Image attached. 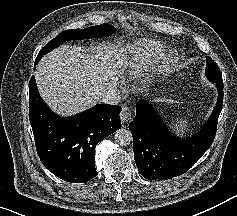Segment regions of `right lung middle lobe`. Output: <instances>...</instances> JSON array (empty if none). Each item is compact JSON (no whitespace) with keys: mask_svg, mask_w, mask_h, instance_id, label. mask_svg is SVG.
I'll return each mask as SVG.
<instances>
[{"mask_svg":"<svg viewBox=\"0 0 237 216\" xmlns=\"http://www.w3.org/2000/svg\"><path fill=\"white\" fill-rule=\"evenodd\" d=\"M114 32H116V29L108 23L88 27L85 29H71L63 31L40 50L35 60V64H37L45 54L49 53L51 50L55 49L65 41L109 36Z\"/></svg>","mask_w":237,"mask_h":216,"instance_id":"obj_1","label":"right lung middle lobe"}]
</instances>
